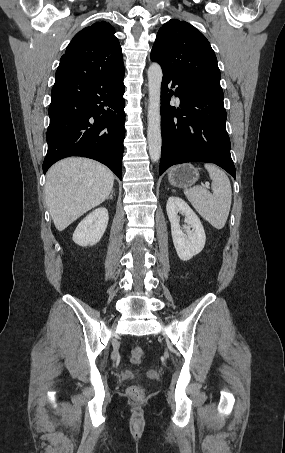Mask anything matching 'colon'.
<instances>
[{
    "label": "colon",
    "mask_w": 285,
    "mask_h": 453,
    "mask_svg": "<svg viewBox=\"0 0 285 453\" xmlns=\"http://www.w3.org/2000/svg\"><path fill=\"white\" fill-rule=\"evenodd\" d=\"M144 358V350L141 346L135 345L130 351V361L133 364H139ZM128 394L131 398L137 399L143 395V389L134 385L128 388Z\"/></svg>",
    "instance_id": "5ec220e1"
}]
</instances>
